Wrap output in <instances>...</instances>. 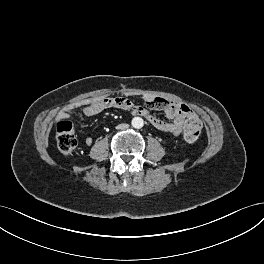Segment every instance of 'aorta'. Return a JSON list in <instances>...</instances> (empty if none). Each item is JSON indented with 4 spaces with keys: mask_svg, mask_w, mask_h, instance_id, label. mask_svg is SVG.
I'll return each instance as SVG.
<instances>
[{
    "mask_svg": "<svg viewBox=\"0 0 264 264\" xmlns=\"http://www.w3.org/2000/svg\"><path fill=\"white\" fill-rule=\"evenodd\" d=\"M131 125L136 129H140L143 127L144 121L141 117H134L131 121Z\"/></svg>",
    "mask_w": 264,
    "mask_h": 264,
    "instance_id": "obj_1",
    "label": "aorta"
}]
</instances>
